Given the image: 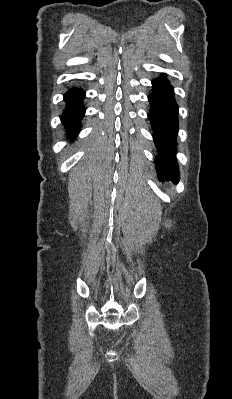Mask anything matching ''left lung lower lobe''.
<instances>
[{
    "mask_svg": "<svg viewBox=\"0 0 232 399\" xmlns=\"http://www.w3.org/2000/svg\"><path fill=\"white\" fill-rule=\"evenodd\" d=\"M152 85L153 92L148 96L151 107L148 117L154 143L159 151L155 158L156 171L160 180L178 182L180 175L175 157L178 105L174 99L173 87L165 77L153 80Z\"/></svg>",
    "mask_w": 232,
    "mask_h": 399,
    "instance_id": "0a47b994",
    "label": "left lung lower lobe"
}]
</instances>
